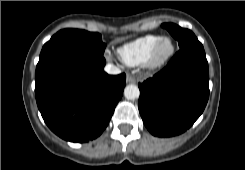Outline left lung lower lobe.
<instances>
[{
	"instance_id": "1",
	"label": "left lung lower lobe",
	"mask_w": 245,
	"mask_h": 170,
	"mask_svg": "<svg viewBox=\"0 0 245 170\" xmlns=\"http://www.w3.org/2000/svg\"><path fill=\"white\" fill-rule=\"evenodd\" d=\"M138 86L139 112L151 134L172 137L185 132L209 98L205 52L180 49L162 71Z\"/></svg>"
}]
</instances>
